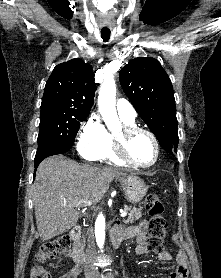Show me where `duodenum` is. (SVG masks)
I'll return each instance as SVG.
<instances>
[{"mask_svg": "<svg viewBox=\"0 0 221 278\" xmlns=\"http://www.w3.org/2000/svg\"><path fill=\"white\" fill-rule=\"evenodd\" d=\"M111 242L114 247H118L122 241L128 239L126 230H123L118 224L112 223L110 227ZM70 237L73 241L72 258L73 261L82 267L85 259V255L82 247L80 246L81 240V228L79 226L74 227L70 232Z\"/></svg>", "mask_w": 221, "mask_h": 278, "instance_id": "1", "label": "duodenum"}]
</instances>
